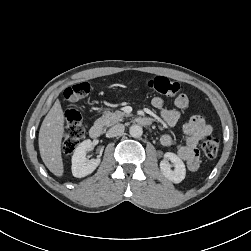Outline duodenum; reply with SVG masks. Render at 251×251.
Here are the masks:
<instances>
[{"label":"duodenum","mask_w":251,"mask_h":251,"mask_svg":"<svg viewBox=\"0 0 251 251\" xmlns=\"http://www.w3.org/2000/svg\"><path fill=\"white\" fill-rule=\"evenodd\" d=\"M137 123L148 126L152 123V119L148 116H140L136 118ZM103 133V128L100 125H94L89 130V136L92 139H98Z\"/></svg>","instance_id":"duodenum-1"}]
</instances>
